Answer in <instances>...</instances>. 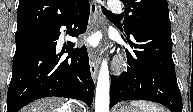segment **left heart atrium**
I'll list each match as a JSON object with an SVG mask.
<instances>
[{
	"mask_svg": "<svg viewBox=\"0 0 193 112\" xmlns=\"http://www.w3.org/2000/svg\"><path fill=\"white\" fill-rule=\"evenodd\" d=\"M100 41V35L98 33H91L86 35L80 40V43L89 49H97Z\"/></svg>",
	"mask_w": 193,
	"mask_h": 112,
	"instance_id": "39dd6f15",
	"label": "left heart atrium"
}]
</instances>
